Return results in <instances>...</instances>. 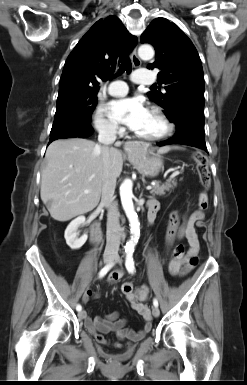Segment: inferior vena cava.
<instances>
[{"instance_id":"1","label":"inferior vena cava","mask_w":247,"mask_h":385,"mask_svg":"<svg viewBox=\"0 0 247 385\" xmlns=\"http://www.w3.org/2000/svg\"><path fill=\"white\" fill-rule=\"evenodd\" d=\"M115 140L116 128L114 125H104L99 129L98 141L104 150L103 161L105 166L107 167L101 190V203L104 204L108 210L106 247L104 251V256H117L121 240L119 212L117 203L114 201L116 178L112 176L108 170L109 145L113 144Z\"/></svg>"}]
</instances>
